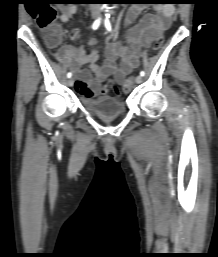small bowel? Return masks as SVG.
<instances>
[{
    "instance_id": "small-bowel-1",
    "label": "small bowel",
    "mask_w": 218,
    "mask_h": 257,
    "mask_svg": "<svg viewBox=\"0 0 218 257\" xmlns=\"http://www.w3.org/2000/svg\"><path fill=\"white\" fill-rule=\"evenodd\" d=\"M143 10L142 6H131L125 16V25H131ZM77 12V7L68 5L61 8L60 20L62 23L69 22ZM174 7L172 5H159L155 7L154 14H145L127 35L128 46H123L111 41L106 48V59L102 65L98 64L99 53L93 51L87 54L84 48L78 50L64 47L57 52V57L68 60L76 74L75 88L79 95L84 98H92L101 94L102 82H106L109 76H113L118 85L125 83L126 76L139 65L140 55L143 49L149 47L155 40L161 38L163 33L170 27ZM95 40L88 42L94 46ZM120 61L118 64L117 61ZM84 64L89 65V70L81 69ZM123 89L122 98H125Z\"/></svg>"
}]
</instances>
